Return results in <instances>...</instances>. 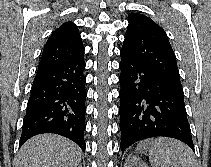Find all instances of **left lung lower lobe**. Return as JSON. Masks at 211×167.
Masks as SVG:
<instances>
[{
	"instance_id": "0a47b994",
	"label": "left lung lower lobe",
	"mask_w": 211,
	"mask_h": 167,
	"mask_svg": "<svg viewBox=\"0 0 211 167\" xmlns=\"http://www.w3.org/2000/svg\"><path fill=\"white\" fill-rule=\"evenodd\" d=\"M121 151L150 137L165 136L194 145L184 104L183 89L162 79L120 50Z\"/></svg>"
}]
</instances>
